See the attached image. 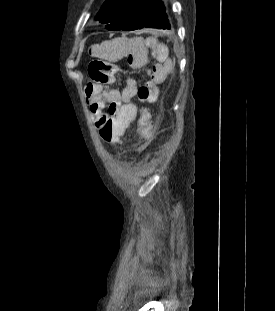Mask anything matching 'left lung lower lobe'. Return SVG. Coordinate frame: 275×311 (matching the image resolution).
I'll return each mask as SVG.
<instances>
[{"instance_id":"1","label":"left lung lower lobe","mask_w":275,"mask_h":311,"mask_svg":"<svg viewBox=\"0 0 275 311\" xmlns=\"http://www.w3.org/2000/svg\"><path fill=\"white\" fill-rule=\"evenodd\" d=\"M144 28L171 29L165 6L161 0H146L122 30L133 31Z\"/></svg>"}]
</instances>
